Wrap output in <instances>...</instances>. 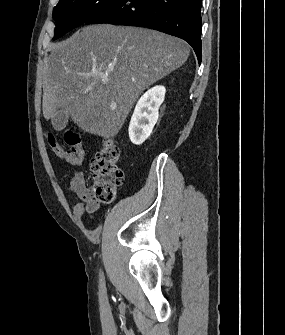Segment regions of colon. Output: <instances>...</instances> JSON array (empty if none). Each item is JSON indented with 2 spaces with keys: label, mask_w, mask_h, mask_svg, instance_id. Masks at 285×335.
I'll return each mask as SVG.
<instances>
[{
  "label": "colon",
  "mask_w": 285,
  "mask_h": 335,
  "mask_svg": "<svg viewBox=\"0 0 285 335\" xmlns=\"http://www.w3.org/2000/svg\"><path fill=\"white\" fill-rule=\"evenodd\" d=\"M47 142L53 152L71 165H80L84 158L81 134L69 130L64 140L69 148L63 147L54 134L47 133ZM120 149L112 140H105L90 163L89 184L93 198L102 203L115 199L118 188L124 180L123 171L118 166Z\"/></svg>",
  "instance_id": "5ec220e1"
}]
</instances>
